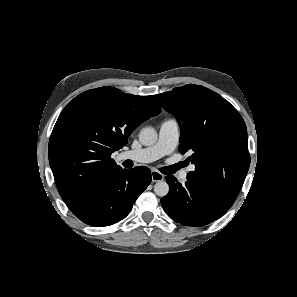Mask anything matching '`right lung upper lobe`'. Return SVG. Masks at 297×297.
I'll list each match as a JSON object with an SVG mask.
<instances>
[{"mask_svg": "<svg viewBox=\"0 0 297 297\" xmlns=\"http://www.w3.org/2000/svg\"><path fill=\"white\" fill-rule=\"evenodd\" d=\"M160 112L152 96L112 87L85 91L67 104L50 136L48 155L58 191L71 211L122 169L111 154L127 144L138 125Z\"/></svg>", "mask_w": 297, "mask_h": 297, "instance_id": "1", "label": "right lung upper lobe"}]
</instances>
